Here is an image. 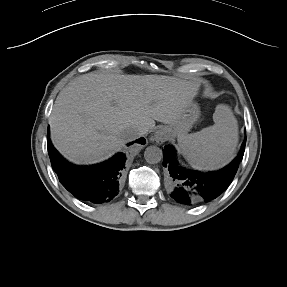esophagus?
Wrapping results in <instances>:
<instances>
[{
	"label": "esophagus",
	"mask_w": 287,
	"mask_h": 287,
	"mask_svg": "<svg viewBox=\"0 0 287 287\" xmlns=\"http://www.w3.org/2000/svg\"><path fill=\"white\" fill-rule=\"evenodd\" d=\"M154 139L158 144H162L163 142H165L166 138H165L164 132L161 130L156 131L154 135Z\"/></svg>",
	"instance_id": "esophagus-1"
}]
</instances>
